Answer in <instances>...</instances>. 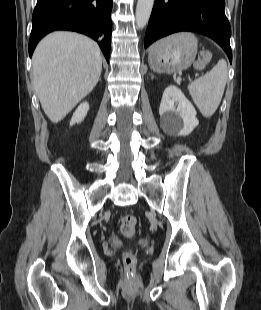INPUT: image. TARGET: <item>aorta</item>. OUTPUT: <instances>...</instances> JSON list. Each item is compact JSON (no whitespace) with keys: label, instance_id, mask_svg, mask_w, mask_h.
<instances>
[{"label":"aorta","instance_id":"aorta-1","mask_svg":"<svg viewBox=\"0 0 261 310\" xmlns=\"http://www.w3.org/2000/svg\"><path fill=\"white\" fill-rule=\"evenodd\" d=\"M155 0H138L136 7V25L143 29L150 18Z\"/></svg>","mask_w":261,"mask_h":310}]
</instances>
